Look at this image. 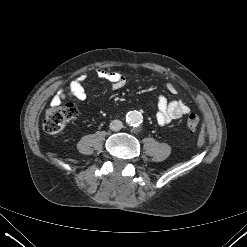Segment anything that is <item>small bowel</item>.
I'll list each match as a JSON object with an SVG mask.
<instances>
[{"label": "small bowel", "instance_id": "c3829d8e", "mask_svg": "<svg viewBox=\"0 0 247 247\" xmlns=\"http://www.w3.org/2000/svg\"><path fill=\"white\" fill-rule=\"evenodd\" d=\"M97 76L111 84V89L117 91L125 87V76L116 71H108L105 69H98L96 71ZM85 75H80L74 79L67 89L59 90L52 99V103L60 104L66 97H74L80 101H84L87 98L86 91L83 86ZM168 92L175 94L177 92L176 87L173 84L168 83L166 85ZM158 111L156 114L157 123L161 126L167 125L173 120L180 119L184 115L188 114L189 107L181 100L168 101L163 95L158 97Z\"/></svg>", "mask_w": 247, "mask_h": 247}]
</instances>
